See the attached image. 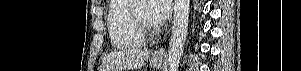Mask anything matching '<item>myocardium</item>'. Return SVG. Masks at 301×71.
<instances>
[{"instance_id":"myocardium-1","label":"myocardium","mask_w":301,"mask_h":71,"mask_svg":"<svg viewBox=\"0 0 301 71\" xmlns=\"http://www.w3.org/2000/svg\"><path fill=\"white\" fill-rule=\"evenodd\" d=\"M136 3L137 1L134 0L130 5V13L133 23L141 35H143L144 37L152 36L156 31V28L154 25L148 23L139 15L136 8Z\"/></svg>"}]
</instances>
